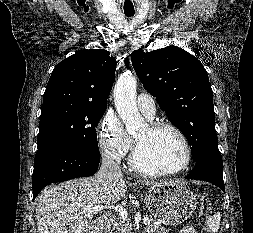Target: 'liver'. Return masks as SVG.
<instances>
[{
    "mask_svg": "<svg viewBox=\"0 0 253 233\" xmlns=\"http://www.w3.org/2000/svg\"><path fill=\"white\" fill-rule=\"evenodd\" d=\"M167 183L180 182H144L151 186ZM126 192L123 178L106 182L95 176L49 186L40 193L36 202L38 233H88L93 225L87 211L95 206L113 205Z\"/></svg>",
    "mask_w": 253,
    "mask_h": 233,
    "instance_id": "1",
    "label": "liver"
}]
</instances>
